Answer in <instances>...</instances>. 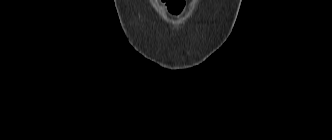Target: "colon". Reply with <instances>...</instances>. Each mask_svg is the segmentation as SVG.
Listing matches in <instances>:
<instances>
[{
    "label": "colon",
    "mask_w": 332,
    "mask_h": 140,
    "mask_svg": "<svg viewBox=\"0 0 332 140\" xmlns=\"http://www.w3.org/2000/svg\"><path fill=\"white\" fill-rule=\"evenodd\" d=\"M162 2L174 13L180 12L184 5V0H162Z\"/></svg>",
    "instance_id": "1"
}]
</instances>
